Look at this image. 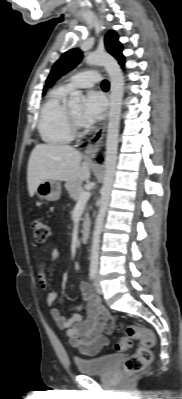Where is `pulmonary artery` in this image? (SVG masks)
Instances as JSON below:
<instances>
[{
    "label": "pulmonary artery",
    "instance_id": "obj_1",
    "mask_svg": "<svg viewBox=\"0 0 182 399\" xmlns=\"http://www.w3.org/2000/svg\"><path fill=\"white\" fill-rule=\"evenodd\" d=\"M100 80L101 75L98 71L87 70L71 76L62 87L68 91L77 88H90L99 83Z\"/></svg>",
    "mask_w": 182,
    "mask_h": 399
}]
</instances>
